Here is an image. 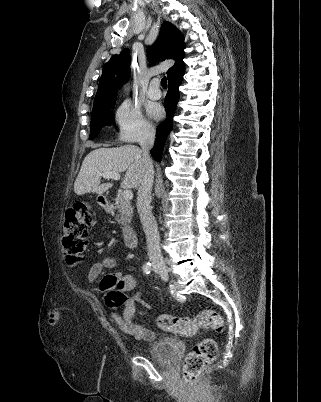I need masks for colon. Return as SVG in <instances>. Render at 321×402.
<instances>
[{
	"label": "colon",
	"mask_w": 321,
	"mask_h": 402,
	"mask_svg": "<svg viewBox=\"0 0 321 402\" xmlns=\"http://www.w3.org/2000/svg\"><path fill=\"white\" fill-rule=\"evenodd\" d=\"M91 222L89 206L84 203L69 207L65 212L62 245L70 266H75L81 261ZM128 299V296L120 290H111L105 296L106 305L110 309H116ZM59 320V312L57 310L51 312L50 322L57 324ZM156 322L160 329L182 335H192L199 329H212L219 333L224 330V320L214 310H202L192 319L160 315ZM217 354L218 347L213 339L198 342L186 356L183 364L185 382H193L216 359Z\"/></svg>",
	"instance_id": "5ec220e1"
}]
</instances>
